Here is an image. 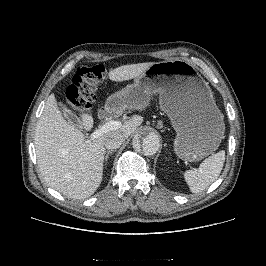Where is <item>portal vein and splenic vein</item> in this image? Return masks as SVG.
I'll return each instance as SVG.
<instances>
[{
    "mask_svg": "<svg viewBox=\"0 0 266 266\" xmlns=\"http://www.w3.org/2000/svg\"><path fill=\"white\" fill-rule=\"evenodd\" d=\"M120 125L121 122L119 121L109 120L108 122L100 126L98 129H96L94 132H92L89 140H94L109 131L116 130L120 127Z\"/></svg>",
    "mask_w": 266,
    "mask_h": 266,
    "instance_id": "18ae733b",
    "label": "portal vein and splenic vein"
}]
</instances>
